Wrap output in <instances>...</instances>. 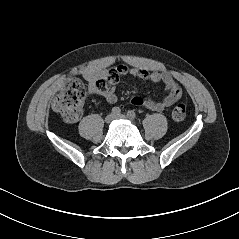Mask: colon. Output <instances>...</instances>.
<instances>
[{"label":"colon","instance_id":"obj_1","mask_svg":"<svg viewBox=\"0 0 239 239\" xmlns=\"http://www.w3.org/2000/svg\"><path fill=\"white\" fill-rule=\"evenodd\" d=\"M110 80L112 78L98 80L96 82L98 89L103 90ZM87 93V88L80 79H68L64 84L63 90L53 102L54 111L59 113L65 122H76L82 115L83 103ZM185 116L186 107L183 104L177 105L172 111V118L175 121H182Z\"/></svg>","mask_w":239,"mask_h":239}]
</instances>
